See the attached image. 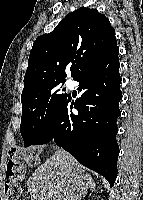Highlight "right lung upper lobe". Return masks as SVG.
Returning a JSON list of instances; mask_svg holds the SVG:
<instances>
[{
	"instance_id": "obj_1",
	"label": "right lung upper lobe",
	"mask_w": 143,
	"mask_h": 200,
	"mask_svg": "<svg viewBox=\"0 0 143 200\" xmlns=\"http://www.w3.org/2000/svg\"><path fill=\"white\" fill-rule=\"evenodd\" d=\"M117 48L115 30L105 15L80 8L69 13L48 34L33 43L24 76L23 92L43 83L73 79L88 65Z\"/></svg>"
}]
</instances>
